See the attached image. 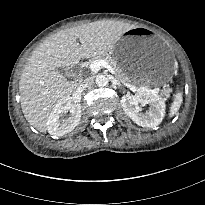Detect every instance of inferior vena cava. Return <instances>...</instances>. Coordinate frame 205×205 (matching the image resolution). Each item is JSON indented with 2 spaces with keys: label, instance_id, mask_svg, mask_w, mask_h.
<instances>
[{
  "label": "inferior vena cava",
  "instance_id": "obj_1",
  "mask_svg": "<svg viewBox=\"0 0 205 205\" xmlns=\"http://www.w3.org/2000/svg\"><path fill=\"white\" fill-rule=\"evenodd\" d=\"M94 81L92 78H86L83 83L80 85V90H85L87 88H90L93 85Z\"/></svg>",
  "mask_w": 205,
  "mask_h": 205
}]
</instances>
